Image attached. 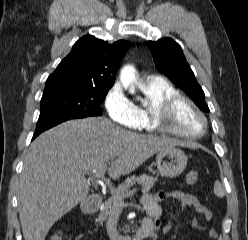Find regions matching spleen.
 Wrapping results in <instances>:
<instances>
[{"label": "spleen", "instance_id": "spleen-1", "mask_svg": "<svg viewBox=\"0 0 248 240\" xmlns=\"http://www.w3.org/2000/svg\"><path fill=\"white\" fill-rule=\"evenodd\" d=\"M214 193L218 196V197H223L224 196V191L222 188V185L219 181H215L214 184Z\"/></svg>", "mask_w": 248, "mask_h": 240}]
</instances>
